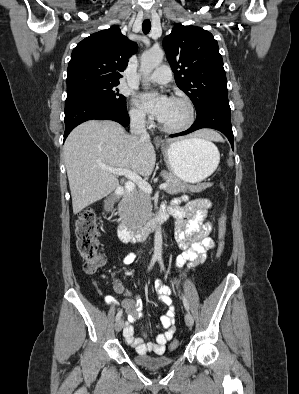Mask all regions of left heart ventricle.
Instances as JSON below:
<instances>
[{"instance_id": "obj_1", "label": "left heart ventricle", "mask_w": 299, "mask_h": 394, "mask_svg": "<svg viewBox=\"0 0 299 394\" xmlns=\"http://www.w3.org/2000/svg\"><path fill=\"white\" fill-rule=\"evenodd\" d=\"M188 117V109L182 102L170 100L169 107L160 120L167 126L177 127L185 124Z\"/></svg>"}]
</instances>
